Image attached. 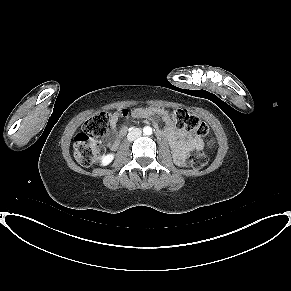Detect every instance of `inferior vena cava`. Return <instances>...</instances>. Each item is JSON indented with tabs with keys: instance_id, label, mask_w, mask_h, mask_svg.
<instances>
[{
	"instance_id": "602c4592",
	"label": "inferior vena cava",
	"mask_w": 291,
	"mask_h": 291,
	"mask_svg": "<svg viewBox=\"0 0 291 291\" xmlns=\"http://www.w3.org/2000/svg\"><path fill=\"white\" fill-rule=\"evenodd\" d=\"M142 131L139 128H133L127 135L129 141H133L141 136Z\"/></svg>"
}]
</instances>
